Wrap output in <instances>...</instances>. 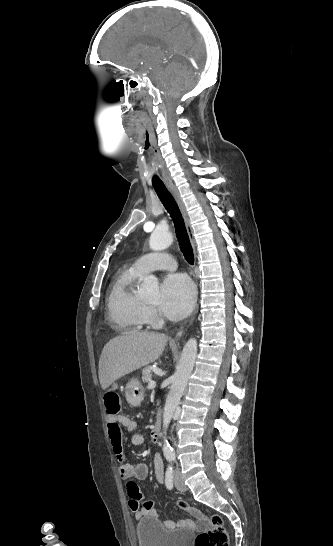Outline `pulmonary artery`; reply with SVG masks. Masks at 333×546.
Instances as JSON below:
<instances>
[{"instance_id": "1", "label": "pulmonary artery", "mask_w": 333, "mask_h": 546, "mask_svg": "<svg viewBox=\"0 0 333 546\" xmlns=\"http://www.w3.org/2000/svg\"><path fill=\"white\" fill-rule=\"evenodd\" d=\"M133 267L142 274L155 270H175L177 267L175 259L163 252L149 253L139 257Z\"/></svg>"}]
</instances>
